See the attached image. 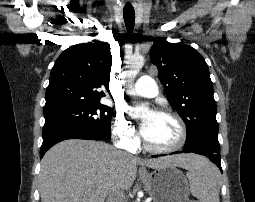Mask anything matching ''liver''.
Here are the masks:
<instances>
[{
	"mask_svg": "<svg viewBox=\"0 0 255 202\" xmlns=\"http://www.w3.org/2000/svg\"><path fill=\"white\" fill-rule=\"evenodd\" d=\"M200 157L193 154L141 159L91 140L70 139L44 155L39 173L41 202H104L114 190H128L138 164L157 169H189Z\"/></svg>",
	"mask_w": 255,
	"mask_h": 202,
	"instance_id": "1",
	"label": "liver"
}]
</instances>
